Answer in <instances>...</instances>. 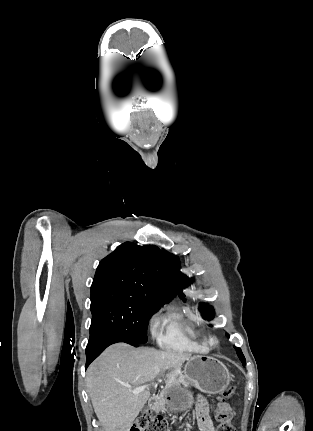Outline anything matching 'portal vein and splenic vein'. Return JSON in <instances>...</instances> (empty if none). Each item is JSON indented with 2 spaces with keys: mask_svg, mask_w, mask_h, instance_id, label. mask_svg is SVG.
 Returning a JSON list of instances; mask_svg holds the SVG:
<instances>
[{
  "mask_svg": "<svg viewBox=\"0 0 313 431\" xmlns=\"http://www.w3.org/2000/svg\"><path fill=\"white\" fill-rule=\"evenodd\" d=\"M149 386H150V384L143 385V386L137 387L133 390H130V392H132L133 394H139V393L143 392L144 390L148 389Z\"/></svg>",
  "mask_w": 313,
  "mask_h": 431,
  "instance_id": "obj_1",
  "label": "portal vein and splenic vein"
}]
</instances>
